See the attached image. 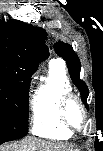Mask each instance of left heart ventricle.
Instances as JSON below:
<instances>
[{"label":"left heart ventricle","instance_id":"1","mask_svg":"<svg viewBox=\"0 0 103 151\" xmlns=\"http://www.w3.org/2000/svg\"><path fill=\"white\" fill-rule=\"evenodd\" d=\"M69 118L75 125H81L83 115L80 108L75 103H71L68 110Z\"/></svg>","mask_w":103,"mask_h":151}]
</instances>
